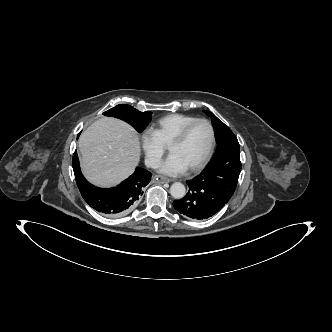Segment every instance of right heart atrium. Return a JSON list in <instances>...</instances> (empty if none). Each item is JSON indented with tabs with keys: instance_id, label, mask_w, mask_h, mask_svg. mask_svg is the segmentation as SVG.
<instances>
[{
	"instance_id": "d8ad5b80",
	"label": "right heart atrium",
	"mask_w": 332,
	"mask_h": 332,
	"mask_svg": "<svg viewBox=\"0 0 332 332\" xmlns=\"http://www.w3.org/2000/svg\"><path fill=\"white\" fill-rule=\"evenodd\" d=\"M141 149L146 164L155 168L161 161L165 147L151 129H146L140 136Z\"/></svg>"
}]
</instances>
